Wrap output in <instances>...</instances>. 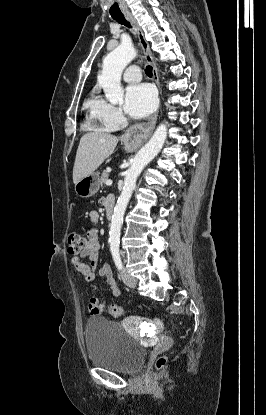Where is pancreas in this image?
<instances>
[{
    "label": "pancreas",
    "mask_w": 266,
    "mask_h": 415,
    "mask_svg": "<svg viewBox=\"0 0 266 415\" xmlns=\"http://www.w3.org/2000/svg\"><path fill=\"white\" fill-rule=\"evenodd\" d=\"M109 177V173L108 171H103L101 178H100V185L102 186L103 184H105V182L108 180Z\"/></svg>",
    "instance_id": "1"
}]
</instances>
